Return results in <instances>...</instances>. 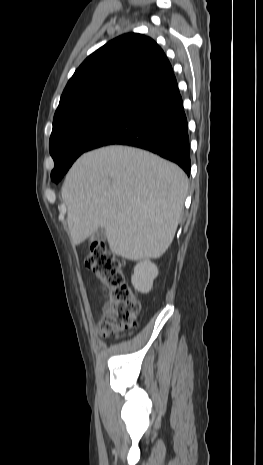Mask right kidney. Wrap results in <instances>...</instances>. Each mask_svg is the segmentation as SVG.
I'll return each mask as SVG.
<instances>
[{
	"label": "right kidney",
	"mask_w": 263,
	"mask_h": 465,
	"mask_svg": "<svg viewBox=\"0 0 263 465\" xmlns=\"http://www.w3.org/2000/svg\"><path fill=\"white\" fill-rule=\"evenodd\" d=\"M157 275V266L150 261L145 260L135 266L131 282L135 289L142 293H147L151 290L153 281Z\"/></svg>",
	"instance_id": "ca27d5eb"
}]
</instances>
